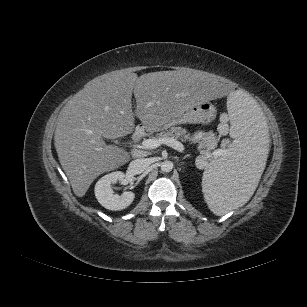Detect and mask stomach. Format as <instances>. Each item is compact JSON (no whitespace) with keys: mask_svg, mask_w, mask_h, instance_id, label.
Returning a JSON list of instances; mask_svg holds the SVG:
<instances>
[{"mask_svg":"<svg viewBox=\"0 0 307 307\" xmlns=\"http://www.w3.org/2000/svg\"><path fill=\"white\" fill-rule=\"evenodd\" d=\"M215 107L212 103L202 101L193 104L187 108L183 113L172 117L167 123L162 125H151L146 127L149 131H157L167 129L172 125L184 123H207L210 122L215 116Z\"/></svg>","mask_w":307,"mask_h":307,"instance_id":"1","label":"stomach"}]
</instances>
